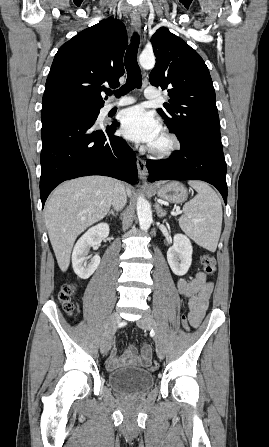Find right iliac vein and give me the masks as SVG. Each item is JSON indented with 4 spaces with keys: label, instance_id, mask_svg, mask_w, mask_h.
I'll list each match as a JSON object with an SVG mask.
<instances>
[{
    "label": "right iliac vein",
    "instance_id": "63e3f726",
    "mask_svg": "<svg viewBox=\"0 0 269 447\" xmlns=\"http://www.w3.org/2000/svg\"><path fill=\"white\" fill-rule=\"evenodd\" d=\"M120 322L121 317L119 316V314L113 313L108 321V324L106 325V329L100 343V349L103 354H106L109 351L112 342V337L118 326V323Z\"/></svg>",
    "mask_w": 269,
    "mask_h": 447
}]
</instances>
